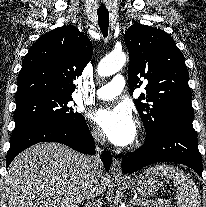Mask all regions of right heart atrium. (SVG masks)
Segmentation results:
<instances>
[{"mask_svg": "<svg viewBox=\"0 0 206 207\" xmlns=\"http://www.w3.org/2000/svg\"><path fill=\"white\" fill-rule=\"evenodd\" d=\"M91 136L95 143L102 145L105 142L103 134L95 127L91 128Z\"/></svg>", "mask_w": 206, "mask_h": 207, "instance_id": "obj_1", "label": "right heart atrium"}]
</instances>
